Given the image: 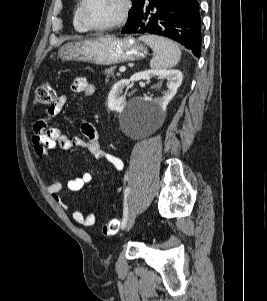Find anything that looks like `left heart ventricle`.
<instances>
[{
  "mask_svg": "<svg viewBox=\"0 0 267 301\" xmlns=\"http://www.w3.org/2000/svg\"><path fill=\"white\" fill-rule=\"evenodd\" d=\"M121 8V0H89L86 15L93 25L100 26L117 20Z\"/></svg>",
  "mask_w": 267,
  "mask_h": 301,
  "instance_id": "1",
  "label": "left heart ventricle"
}]
</instances>
